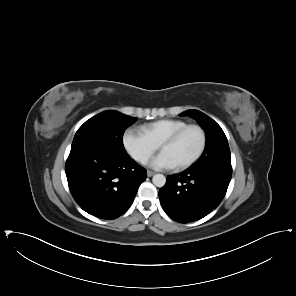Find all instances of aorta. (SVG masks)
Here are the masks:
<instances>
[{
    "mask_svg": "<svg viewBox=\"0 0 296 296\" xmlns=\"http://www.w3.org/2000/svg\"><path fill=\"white\" fill-rule=\"evenodd\" d=\"M152 182L156 187H163L166 183V178L163 174H155L152 178Z\"/></svg>",
    "mask_w": 296,
    "mask_h": 296,
    "instance_id": "aorta-1",
    "label": "aorta"
}]
</instances>
